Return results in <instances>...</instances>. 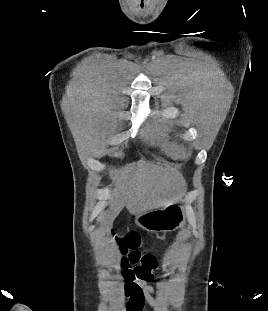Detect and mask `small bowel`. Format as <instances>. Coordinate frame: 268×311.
I'll return each instance as SVG.
<instances>
[{
    "label": "small bowel",
    "instance_id": "c3829d8e",
    "mask_svg": "<svg viewBox=\"0 0 268 311\" xmlns=\"http://www.w3.org/2000/svg\"><path fill=\"white\" fill-rule=\"evenodd\" d=\"M163 285L162 281L151 285L148 281L136 280L128 293L125 285L123 293L128 298L126 311H143L145 304H148L153 311H164V301L158 294Z\"/></svg>",
    "mask_w": 268,
    "mask_h": 311
}]
</instances>
